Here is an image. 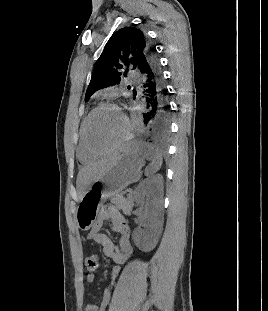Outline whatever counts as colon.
<instances>
[{
	"mask_svg": "<svg viewBox=\"0 0 268 311\" xmlns=\"http://www.w3.org/2000/svg\"><path fill=\"white\" fill-rule=\"evenodd\" d=\"M99 266V257L96 254H89L85 259V267L88 272H94Z\"/></svg>",
	"mask_w": 268,
	"mask_h": 311,
	"instance_id": "1",
	"label": "colon"
}]
</instances>
